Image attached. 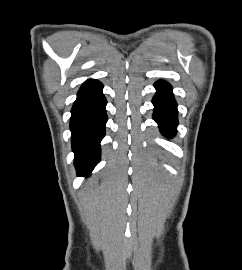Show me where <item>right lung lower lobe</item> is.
Segmentation results:
<instances>
[{
  "label": "right lung lower lobe",
  "mask_w": 242,
  "mask_h": 270,
  "mask_svg": "<svg viewBox=\"0 0 242 270\" xmlns=\"http://www.w3.org/2000/svg\"><path fill=\"white\" fill-rule=\"evenodd\" d=\"M102 89L100 82L87 80L71 110L72 149L78 175H88L100 160V141L108 119Z\"/></svg>",
  "instance_id": "obj_1"
}]
</instances>
